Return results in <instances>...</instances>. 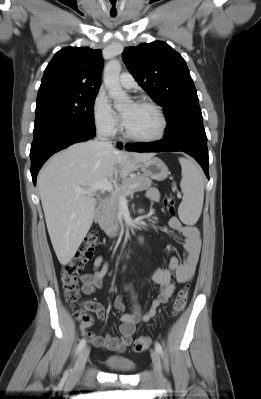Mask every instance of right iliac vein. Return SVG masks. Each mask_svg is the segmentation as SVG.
<instances>
[{
  "label": "right iliac vein",
  "mask_w": 261,
  "mask_h": 399,
  "mask_svg": "<svg viewBox=\"0 0 261 399\" xmlns=\"http://www.w3.org/2000/svg\"><path fill=\"white\" fill-rule=\"evenodd\" d=\"M89 353H90L89 347H85L80 352L74 367V372H73L74 377H79L82 374L85 368L86 361L89 357Z\"/></svg>",
  "instance_id": "1"
}]
</instances>
